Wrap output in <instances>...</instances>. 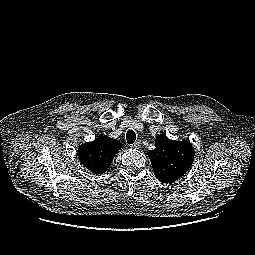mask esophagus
I'll return each instance as SVG.
<instances>
[{
	"label": "esophagus",
	"instance_id": "34e87169",
	"mask_svg": "<svg viewBox=\"0 0 255 255\" xmlns=\"http://www.w3.org/2000/svg\"><path fill=\"white\" fill-rule=\"evenodd\" d=\"M131 147L134 148V149H139L141 147V142L136 141L133 145H131Z\"/></svg>",
	"mask_w": 255,
	"mask_h": 255
}]
</instances>
